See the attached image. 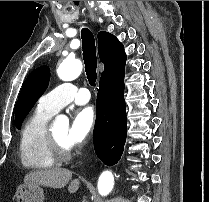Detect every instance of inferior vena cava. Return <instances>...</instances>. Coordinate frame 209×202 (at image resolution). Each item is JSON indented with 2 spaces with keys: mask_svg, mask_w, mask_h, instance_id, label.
Listing matches in <instances>:
<instances>
[{
  "mask_svg": "<svg viewBox=\"0 0 209 202\" xmlns=\"http://www.w3.org/2000/svg\"><path fill=\"white\" fill-rule=\"evenodd\" d=\"M82 202H87L86 199L84 198Z\"/></svg>",
  "mask_w": 209,
  "mask_h": 202,
  "instance_id": "obj_1",
  "label": "inferior vena cava"
}]
</instances>
